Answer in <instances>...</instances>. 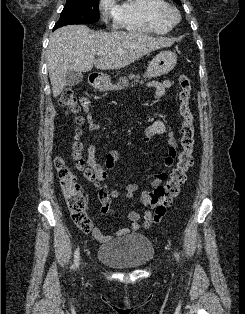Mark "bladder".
<instances>
[{
  "label": "bladder",
  "mask_w": 245,
  "mask_h": 314,
  "mask_svg": "<svg viewBox=\"0 0 245 314\" xmlns=\"http://www.w3.org/2000/svg\"><path fill=\"white\" fill-rule=\"evenodd\" d=\"M153 256V245L142 234H132L102 245L97 253L99 261L118 269L141 267L150 262Z\"/></svg>",
  "instance_id": "bladder-1"
}]
</instances>
